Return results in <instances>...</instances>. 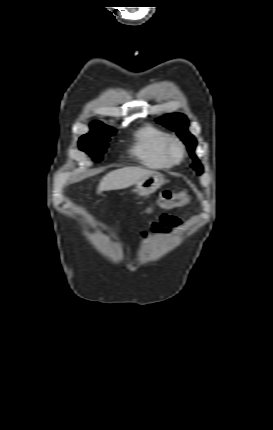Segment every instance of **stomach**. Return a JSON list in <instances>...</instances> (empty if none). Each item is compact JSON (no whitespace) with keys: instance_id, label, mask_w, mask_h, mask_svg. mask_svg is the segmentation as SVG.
<instances>
[{"instance_id":"1","label":"stomach","mask_w":273,"mask_h":430,"mask_svg":"<svg viewBox=\"0 0 273 430\" xmlns=\"http://www.w3.org/2000/svg\"><path fill=\"white\" fill-rule=\"evenodd\" d=\"M163 183V175L158 172H152L136 183V192L139 196H148L158 190Z\"/></svg>"}]
</instances>
